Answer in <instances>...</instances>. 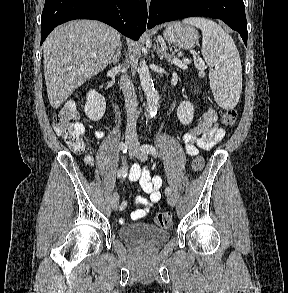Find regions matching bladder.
I'll return each mask as SVG.
<instances>
[{
    "label": "bladder",
    "instance_id": "31cf9c89",
    "mask_svg": "<svg viewBox=\"0 0 288 293\" xmlns=\"http://www.w3.org/2000/svg\"><path fill=\"white\" fill-rule=\"evenodd\" d=\"M119 236L126 242L157 246L166 242L170 233L168 230L150 223H134L120 228Z\"/></svg>",
    "mask_w": 288,
    "mask_h": 293
}]
</instances>
